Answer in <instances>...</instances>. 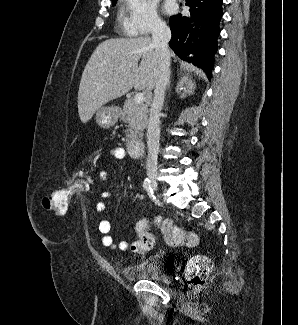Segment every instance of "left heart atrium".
Segmentation results:
<instances>
[{"label": "left heart atrium", "mask_w": 298, "mask_h": 325, "mask_svg": "<svg viewBox=\"0 0 298 325\" xmlns=\"http://www.w3.org/2000/svg\"><path fill=\"white\" fill-rule=\"evenodd\" d=\"M174 9H175V4L173 1L170 0L165 3V11L167 13H172Z\"/></svg>", "instance_id": "39dd6f15"}]
</instances>
